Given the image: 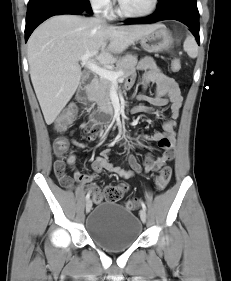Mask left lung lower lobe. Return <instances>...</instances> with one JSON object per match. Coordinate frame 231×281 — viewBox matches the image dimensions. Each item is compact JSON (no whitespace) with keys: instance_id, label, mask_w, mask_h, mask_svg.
<instances>
[{"instance_id":"0a47b994","label":"left lung lower lobe","mask_w":231,"mask_h":281,"mask_svg":"<svg viewBox=\"0 0 231 281\" xmlns=\"http://www.w3.org/2000/svg\"><path fill=\"white\" fill-rule=\"evenodd\" d=\"M177 20L186 24L199 43V11L197 0H161L157 11L149 17L132 18L126 24H148L161 20Z\"/></svg>"}]
</instances>
